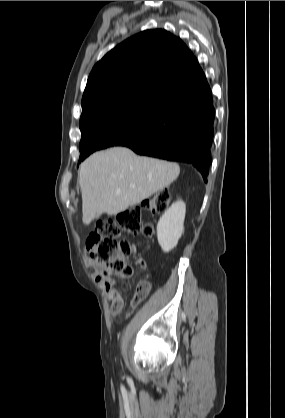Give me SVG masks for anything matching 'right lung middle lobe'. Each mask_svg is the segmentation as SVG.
Masks as SVG:
<instances>
[{
  "label": "right lung middle lobe",
  "mask_w": 285,
  "mask_h": 418,
  "mask_svg": "<svg viewBox=\"0 0 285 418\" xmlns=\"http://www.w3.org/2000/svg\"><path fill=\"white\" fill-rule=\"evenodd\" d=\"M167 106L136 100L103 107L80 119L79 163L96 150L116 146L154 122Z\"/></svg>",
  "instance_id": "1"
}]
</instances>
